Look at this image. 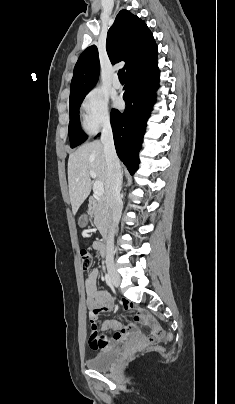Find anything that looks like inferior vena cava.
Instances as JSON below:
<instances>
[{
	"label": "inferior vena cava",
	"instance_id": "inferior-vena-cava-1",
	"mask_svg": "<svg viewBox=\"0 0 235 404\" xmlns=\"http://www.w3.org/2000/svg\"><path fill=\"white\" fill-rule=\"evenodd\" d=\"M101 142L104 148L105 159L108 167V179L106 187V200L111 209L112 227L107 239V255L114 254V233L121 217L122 200L120 196L122 172L119 159L116 154L113 133L110 122L103 125Z\"/></svg>",
	"mask_w": 235,
	"mask_h": 404
}]
</instances>
